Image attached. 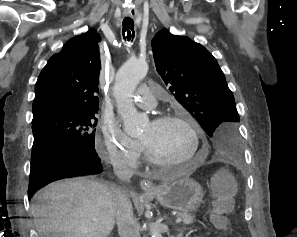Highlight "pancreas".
I'll return each instance as SVG.
<instances>
[{
    "label": "pancreas",
    "instance_id": "cf45deb5",
    "mask_svg": "<svg viewBox=\"0 0 297 237\" xmlns=\"http://www.w3.org/2000/svg\"><path fill=\"white\" fill-rule=\"evenodd\" d=\"M177 217L182 218L183 224L189 225L194 222V215L188 213H178Z\"/></svg>",
    "mask_w": 297,
    "mask_h": 237
}]
</instances>
